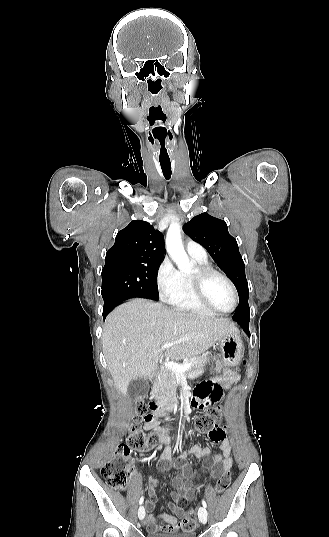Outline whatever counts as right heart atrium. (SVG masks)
Here are the masks:
<instances>
[{"instance_id": "obj_1", "label": "right heart atrium", "mask_w": 329, "mask_h": 537, "mask_svg": "<svg viewBox=\"0 0 329 537\" xmlns=\"http://www.w3.org/2000/svg\"><path fill=\"white\" fill-rule=\"evenodd\" d=\"M156 286L161 299L172 300L182 288V277L170 259L164 258L156 272Z\"/></svg>"}]
</instances>
